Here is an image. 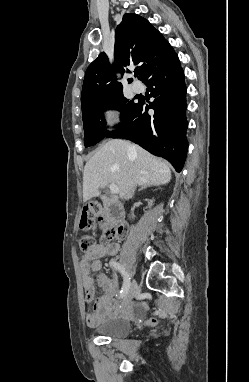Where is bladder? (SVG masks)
<instances>
[{"label": "bladder", "mask_w": 249, "mask_h": 382, "mask_svg": "<svg viewBox=\"0 0 249 382\" xmlns=\"http://www.w3.org/2000/svg\"><path fill=\"white\" fill-rule=\"evenodd\" d=\"M132 329L131 323L126 319H113L105 321L96 327L95 332L111 339H122L129 335Z\"/></svg>", "instance_id": "bladder-1"}]
</instances>
